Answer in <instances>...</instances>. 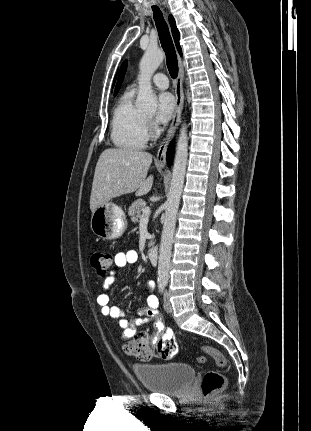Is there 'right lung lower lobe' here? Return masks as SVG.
<instances>
[{"mask_svg":"<svg viewBox=\"0 0 311 431\" xmlns=\"http://www.w3.org/2000/svg\"><path fill=\"white\" fill-rule=\"evenodd\" d=\"M173 150H174V142H171V144L169 145V148H168V152H167V161H168V164L170 165L171 164V157H172V154H173Z\"/></svg>","mask_w":311,"mask_h":431,"instance_id":"obj_1","label":"right lung lower lobe"}]
</instances>
